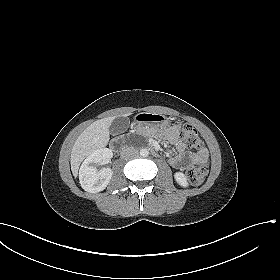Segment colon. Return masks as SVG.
Wrapping results in <instances>:
<instances>
[{
    "label": "colon",
    "mask_w": 280,
    "mask_h": 280,
    "mask_svg": "<svg viewBox=\"0 0 280 280\" xmlns=\"http://www.w3.org/2000/svg\"><path fill=\"white\" fill-rule=\"evenodd\" d=\"M180 135L192 149H201L202 141L198 131L189 124L180 126ZM208 168L205 165L193 166L187 169L186 175L190 183L194 185L201 184L206 179Z\"/></svg>",
    "instance_id": "5ec220e1"
}]
</instances>
